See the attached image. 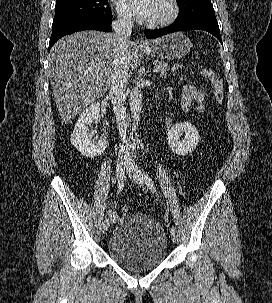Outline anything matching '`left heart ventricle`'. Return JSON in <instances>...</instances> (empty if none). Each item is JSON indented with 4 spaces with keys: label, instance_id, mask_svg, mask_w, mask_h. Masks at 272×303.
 <instances>
[{
    "label": "left heart ventricle",
    "instance_id": "obj_1",
    "mask_svg": "<svg viewBox=\"0 0 272 303\" xmlns=\"http://www.w3.org/2000/svg\"><path fill=\"white\" fill-rule=\"evenodd\" d=\"M169 12L166 0H155L153 15L149 21H157L164 18Z\"/></svg>",
    "mask_w": 272,
    "mask_h": 303
}]
</instances>
